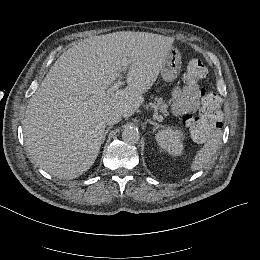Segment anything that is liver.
Returning a JSON list of instances; mask_svg holds the SVG:
<instances>
[{"label":"liver","instance_id":"6515ba94","mask_svg":"<svg viewBox=\"0 0 260 260\" xmlns=\"http://www.w3.org/2000/svg\"><path fill=\"white\" fill-rule=\"evenodd\" d=\"M174 38L119 31L86 38L64 52L32 95L22 121L30 161L60 179H74L94 164L111 111L132 116L166 63ZM131 64L127 86L106 89ZM100 132H96L98 124Z\"/></svg>","mask_w":260,"mask_h":260}]
</instances>
